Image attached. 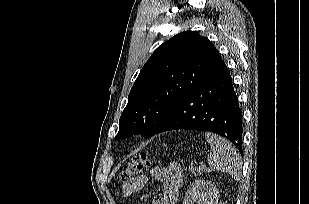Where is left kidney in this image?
I'll use <instances>...</instances> for the list:
<instances>
[{"label":"left kidney","mask_w":309,"mask_h":204,"mask_svg":"<svg viewBox=\"0 0 309 204\" xmlns=\"http://www.w3.org/2000/svg\"><path fill=\"white\" fill-rule=\"evenodd\" d=\"M219 191L211 181L196 180L187 190L183 204H218Z\"/></svg>","instance_id":"1"}]
</instances>
